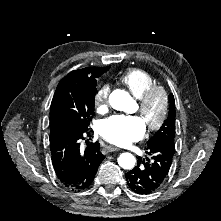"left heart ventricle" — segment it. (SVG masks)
<instances>
[{"label":"left heart ventricle","mask_w":221,"mask_h":221,"mask_svg":"<svg viewBox=\"0 0 221 221\" xmlns=\"http://www.w3.org/2000/svg\"><path fill=\"white\" fill-rule=\"evenodd\" d=\"M159 112H160V100H159V99H155V100L152 102V104H151V106H150V108H149L148 118H147V119H148L149 121H154V120L157 118ZM142 121H143L144 123L146 122V120H145L144 118H142Z\"/></svg>","instance_id":"b2bd125f"}]
</instances>
